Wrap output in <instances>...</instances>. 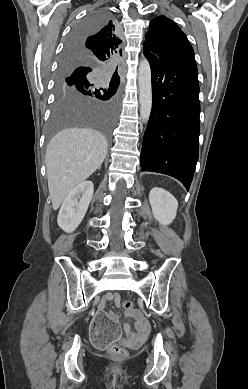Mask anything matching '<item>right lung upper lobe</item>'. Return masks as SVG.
<instances>
[{
	"label": "right lung upper lobe",
	"mask_w": 248,
	"mask_h": 389,
	"mask_svg": "<svg viewBox=\"0 0 248 389\" xmlns=\"http://www.w3.org/2000/svg\"><path fill=\"white\" fill-rule=\"evenodd\" d=\"M121 43L122 40L116 26L112 21H109L93 34L83 38L79 43H73L65 49H72L71 56L73 57L80 55L88 63L111 68L115 59L122 54ZM63 54L66 53L63 52ZM68 56L66 54V57ZM111 79L113 81L119 80L117 71L113 73Z\"/></svg>",
	"instance_id": "1"
}]
</instances>
